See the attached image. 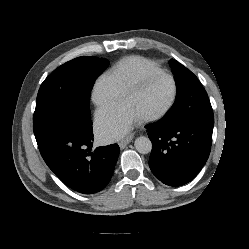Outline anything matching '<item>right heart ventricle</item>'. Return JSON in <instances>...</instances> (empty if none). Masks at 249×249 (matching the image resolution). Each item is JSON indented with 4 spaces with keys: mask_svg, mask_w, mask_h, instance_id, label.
Here are the masks:
<instances>
[{
    "mask_svg": "<svg viewBox=\"0 0 249 249\" xmlns=\"http://www.w3.org/2000/svg\"><path fill=\"white\" fill-rule=\"evenodd\" d=\"M160 71L162 69L153 61L141 56H130L118 62L110 74L125 92L132 83L143 75Z\"/></svg>",
    "mask_w": 249,
    "mask_h": 249,
    "instance_id": "right-heart-ventricle-1",
    "label": "right heart ventricle"
}]
</instances>
